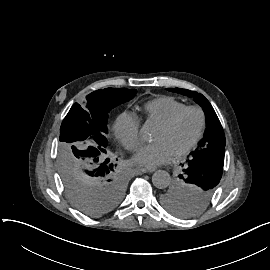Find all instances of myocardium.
I'll return each instance as SVG.
<instances>
[{"mask_svg":"<svg viewBox=\"0 0 270 270\" xmlns=\"http://www.w3.org/2000/svg\"><path fill=\"white\" fill-rule=\"evenodd\" d=\"M195 112L198 115L199 118V124H198V129L197 132L194 136V138L192 139V141L190 143H188L186 146L182 147L181 149H179L177 151V155L179 157L189 153L192 149H194V147L197 145V143L199 142L202 133H203V129H204V125H205V115L204 112L202 111V109H200L197 106H189V107H185L182 110L178 111L177 113H175L172 117H170L168 120L164 121L161 123V125L166 128V129H172L174 128L177 123L180 121V119L188 112Z\"/></svg>","mask_w":270,"mask_h":270,"instance_id":"1","label":"myocardium"}]
</instances>
